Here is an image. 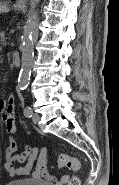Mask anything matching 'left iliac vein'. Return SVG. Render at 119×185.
Here are the masks:
<instances>
[{"instance_id":"4c4485c4","label":"left iliac vein","mask_w":119,"mask_h":185,"mask_svg":"<svg viewBox=\"0 0 119 185\" xmlns=\"http://www.w3.org/2000/svg\"><path fill=\"white\" fill-rule=\"evenodd\" d=\"M39 119H40L39 114H37V113H32V121H33L34 124H38Z\"/></svg>"}]
</instances>
